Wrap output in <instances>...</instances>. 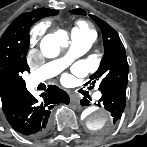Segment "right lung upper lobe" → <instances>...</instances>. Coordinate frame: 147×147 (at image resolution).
<instances>
[{
    "instance_id": "right-lung-upper-lobe-1",
    "label": "right lung upper lobe",
    "mask_w": 147,
    "mask_h": 147,
    "mask_svg": "<svg viewBox=\"0 0 147 147\" xmlns=\"http://www.w3.org/2000/svg\"><path fill=\"white\" fill-rule=\"evenodd\" d=\"M57 10L40 8L18 16L0 39V97L2 108L22 100L29 93L21 73L29 71L26 54L29 35L24 29L37 20L56 15Z\"/></svg>"
}]
</instances>
